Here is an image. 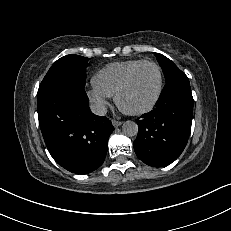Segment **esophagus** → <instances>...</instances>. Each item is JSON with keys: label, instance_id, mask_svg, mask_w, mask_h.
<instances>
[{"label": "esophagus", "instance_id": "34e87169", "mask_svg": "<svg viewBox=\"0 0 231 231\" xmlns=\"http://www.w3.org/2000/svg\"><path fill=\"white\" fill-rule=\"evenodd\" d=\"M112 124H113L114 127H118V126H120L122 124V121H118V120L113 119Z\"/></svg>", "mask_w": 231, "mask_h": 231}]
</instances>
